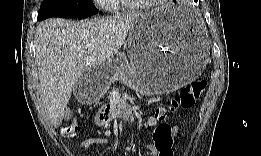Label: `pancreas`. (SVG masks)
<instances>
[{
    "mask_svg": "<svg viewBox=\"0 0 261 156\" xmlns=\"http://www.w3.org/2000/svg\"><path fill=\"white\" fill-rule=\"evenodd\" d=\"M135 67L134 66H128V67H126L125 68V72L127 73V74H134L135 73ZM122 72V69H116L115 71H114V74H118V73H121Z\"/></svg>",
    "mask_w": 261,
    "mask_h": 156,
    "instance_id": "cf45deb5",
    "label": "pancreas"
}]
</instances>
